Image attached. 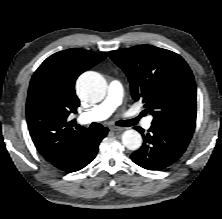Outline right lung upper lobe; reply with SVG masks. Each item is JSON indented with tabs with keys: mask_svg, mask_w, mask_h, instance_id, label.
<instances>
[{
	"mask_svg": "<svg viewBox=\"0 0 222 219\" xmlns=\"http://www.w3.org/2000/svg\"><path fill=\"white\" fill-rule=\"evenodd\" d=\"M106 57V53L67 49L48 57L32 76L26 104L29 132L37 150L57 168L90 131L67 120L80 105L75 81Z\"/></svg>",
	"mask_w": 222,
	"mask_h": 219,
	"instance_id": "1",
	"label": "right lung upper lobe"
}]
</instances>
